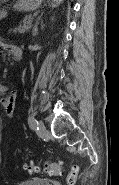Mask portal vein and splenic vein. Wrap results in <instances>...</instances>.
<instances>
[{
    "instance_id": "18ae733b",
    "label": "portal vein and splenic vein",
    "mask_w": 119,
    "mask_h": 185,
    "mask_svg": "<svg viewBox=\"0 0 119 185\" xmlns=\"http://www.w3.org/2000/svg\"><path fill=\"white\" fill-rule=\"evenodd\" d=\"M38 13H35L34 16H37Z\"/></svg>"
}]
</instances>
